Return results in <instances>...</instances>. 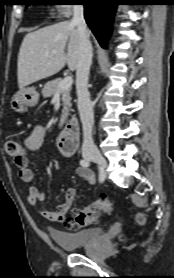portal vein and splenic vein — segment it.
I'll use <instances>...</instances> for the list:
<instances>
[{
	"label": "portal vein and splenic vein",
	"instance_id": "1",
	"mask_svg": "<svg viewBox=\"0 0 174 278\" xmlns=\"http://www.w3.org/2000/svg\"><path fill=\"white\" fill-rule=\"evenodd\" d=\"M73 83V78L71 76L65 77L59 84L58 90L69 89Z\"/></svg>",
	"mask_w": 174,
	"mask_h": 278
}]
</instances>
